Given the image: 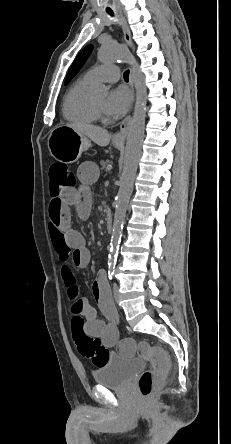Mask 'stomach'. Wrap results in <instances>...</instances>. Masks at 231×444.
<instances>
[{"label":"stomach","instance_id":"0dacf381","mask_svg":"<svg viewBox=\"0 0 231 444\" xmlns=\"http://www.w3.org/2000/svg\"><path fill=\"white\" fill-rule=\"evenodd\" d=\"M91 146L90 140L68 126L55 127L48 139L51 155L58 161L73 163ZM120 149L122 144H115Z\"/></svg>","mask_w":231,"mask_h":444}]
</instances>
